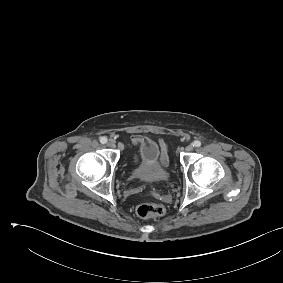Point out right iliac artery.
Instances as JSON below:
<instances>
[{
    "label": "right iliac artery",
    "mask_w": 283,
    "mask_h": 283,
    "mask_svg": "<svg viewBox=\"0 0 283 283\" xmlns=\"http://www.w3.org/2000/svg\"><path fill=\"white\" fill-rule=\"evenodd\" d=\"M100 142H101L102 144L107 143V138H106V137H101V138H100Z\"/></svg>",
    "instance_id": "82829eb1"
}]
</instances>
